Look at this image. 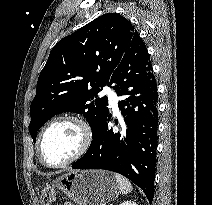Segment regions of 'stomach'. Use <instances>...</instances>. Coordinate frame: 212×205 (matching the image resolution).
I'll return each instance as SVG.
<instances>
[{"label": "stomach", "instance_id": "stomach-1", "mask_svg": "<svg viewBox=\"0 0 212 205\" xmlns=\"http://www.w3.org/2000/svg\"><path fill=\"white\" fill-rule=\"evenodd\" d=\"M54 183L77 205H104L119 194L114 174L105 170L70 171Z\"/></svg>", "mask_w": 212, "mask_h": 205}]
</instances>
